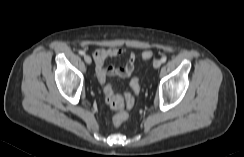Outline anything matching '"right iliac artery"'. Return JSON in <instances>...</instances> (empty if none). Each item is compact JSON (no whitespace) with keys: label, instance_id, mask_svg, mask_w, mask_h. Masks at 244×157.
<instances>
[{"label":"right iliac artery","instance_id":"1","mask_svg":"<svg viewBox=\"0 0 244 157\" xmlns=\"http://www.w3.org/2000/svg\"><path fill=\"white\" fill-rule=\"evenodd\" d=\"M79 54L82 55V56H84L85 55V52L81 50V51H79Z\"/></svg>","mask_w":244,"mask_h":157}]
</instances>
